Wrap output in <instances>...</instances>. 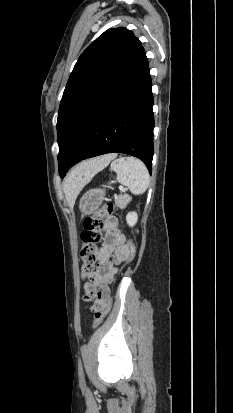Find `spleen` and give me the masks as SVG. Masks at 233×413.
<instances>
[{
    "mask_svg": "<svg viewBox=\"0 0 233 413\" xmlns=\"http://www.w3.org/2000/svg\"><path fill=\"white\" fill-rule=\"evenodd\" d=\"M117 181L134 195L143 194L149 186V172L145 164L134 157H120L111 163Z\"/></svg>",
    "mask_w": 233,
    "mask_h": 413,
    "instance_id": "3e777b00",
    "label": "spleen"
}]
</instances>
